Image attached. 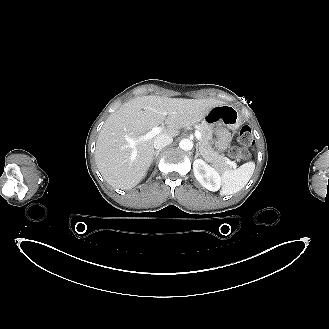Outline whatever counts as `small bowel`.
Here are the masks:
<instances>
[{"label": "small bowel", "instance_id": "c3829d8e", "mask_svg": "<svg viewBox=\"0 0 329 329\" xmlns=\"http://www.w3.org/2000/svg\"><path fill=\"white\" fill-rule=\"evenodd\" d=\"M229 140L230 136L226 131L220 130L218 132L217 145L220 149H225L229 143Z\"/></svg>", "mask_w": 329, "mask_h": 329}]
</instances>
